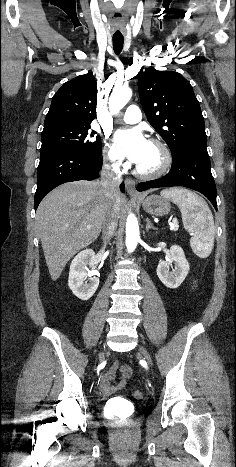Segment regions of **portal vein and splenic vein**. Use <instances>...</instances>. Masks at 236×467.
Listing matches in <instances>:
<instances>
[{"label": "portal vein and splenic vein", "mask_w": 236, "mask_h": 467, "mask_svg": "<svg viewBox=\"0 0 236 467\" xmlns=\"http://www.w3.org/2000/svg\"><path fill=\"white\" fill-rule=\"evenodd\" d=\"M171 229L174 230V231H176L178 229V223H177L176 219L173 221V225L171 226Z\"/></svg>", "instance_id": "obj_1"}]
</instances>
